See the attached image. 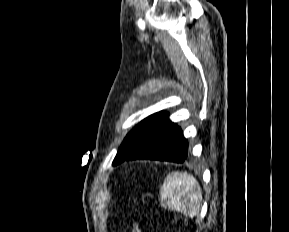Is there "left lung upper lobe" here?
<instances>
[{"mask_svg": "<svg viewBox=\"0 0 289 232\" xmlns=\"http://www.w3.org/2000/svg\"><path fill=\"white\" fill-rule=\"evenodd\" d=\"M168 123L170 120L165 112L155 113L139 123L127 134L117 152L113 165L123 162Z\"/></svg>", "mask_w": 289, "mask_h": 232, "instance_id": "left-lung-upper-lobe-1", "label": "left lung upper lobe"}]
</instances>
